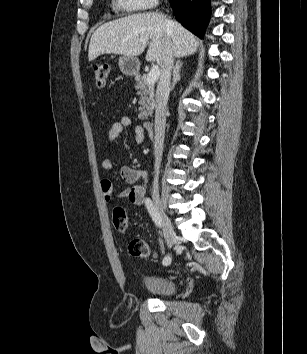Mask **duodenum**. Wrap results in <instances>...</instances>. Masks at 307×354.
I'll list each match as a JSON object with an SVG mask.
<instances>
[{"instance_id": "obj_1", "label": "duodenum", "mask_w": 307, "mask_h": 354, "mask_svg": "<svg viewBox=\"0 0 307 354\" xmlns=\"http://www.w3.org/2000/svg\"><path fill=\"white\" fill-rule=\"evenodd\" d=\"M143 127L146 130V132L150 135V137L153 138L154 137V124H153V122L147 120L143 123Z\"/></svg>"}]
</instances>
